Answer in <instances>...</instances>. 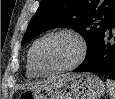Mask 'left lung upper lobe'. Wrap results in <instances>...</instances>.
<instances>
[{
	"instance_id": "1",
	"label": "left lung upper lobe",
	"mask_w": 115,
	"mask_h": 99,
	"mask_svg": "<svg viewBox=\"0 0 115 99\" xmlns=\"http://www.w3.org/2000/svg\"><path fill=\"white\" fill-rule=\"evenodd\" d=\"M114 17L115 0H41L22 45L46 30L68 27L85 38L87 57L98 46Z\"/></svg>"
}]
</instances>
